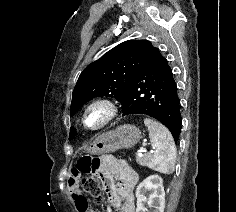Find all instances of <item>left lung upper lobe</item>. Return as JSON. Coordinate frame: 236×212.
Wrapping results in <instances>:
<instances>
[{"instance_id": "5c2ea615", "label": "left lung upper lobe", "mask_w": 236, "mask_h": 212, "mask_svg": "<svg viewBox=\"0 0 236 212\" xmlns=\"http://www.w3.org/2000/svg\"><path fill=\"white\" fill-rule=\"evenodd\" d=\"M149 44L147 40L125 41L88 65L80 74L73 90L70 113L75 114L94 97H114L120 102L134 79ZM75 136L76 130L71 128L69 139Z\"/></svg>"}]
</instances>
